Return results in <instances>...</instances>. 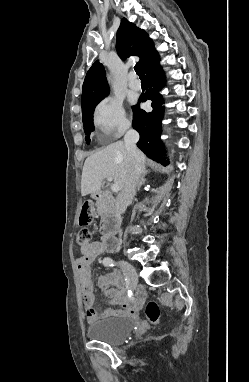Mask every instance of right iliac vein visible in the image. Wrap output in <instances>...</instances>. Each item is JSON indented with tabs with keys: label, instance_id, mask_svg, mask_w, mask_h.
<instances>
[{
	"label": "right iliac vein",
	"instance_id": "1",
	"mask_svg": "<svg viewBox=\"0 0 249 382\" xmlns=\"http://www.w3.org/2000/svg\"><path fill=\"white\" fill-rule=\"evenodd\" d=\"M119 263L123 267V269L126 271L129 277L131 286L134 287L138 282V274L136 269L133 267L132 264H130L129 262L125 260H120Z\"/></svg>",
	"mask_w": 249,
	"mask_h": 382
}]
</instances>
